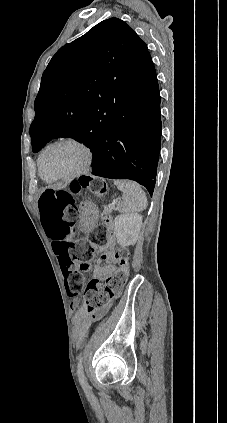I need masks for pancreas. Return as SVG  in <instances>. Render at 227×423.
I'll return each mask as SVG.
<instances>
[{
	"label": "pancreas",
	"mask_w": 227,
	"mask_h": 423,
	"mask_svg": "<svg viewBox=\"0 0 227 423\" xmlns=\"http://www.w3.org/2000/svg\"><path fill=\"white\" fill-rule=\"evenodd\" d=\"M111 210H112V208H104L103 213H109V211H111Z\"/></svg>",
	"instance_id": "obj_1"
}]
</instances>
